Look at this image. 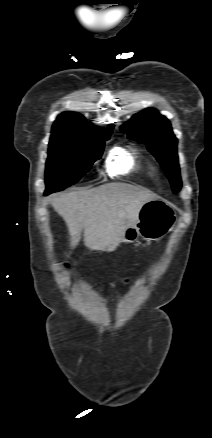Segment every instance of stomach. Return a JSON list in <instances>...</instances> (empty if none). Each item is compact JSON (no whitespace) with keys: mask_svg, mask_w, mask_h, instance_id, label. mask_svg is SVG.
<instances>
[{"mask_svg":"<svg viewBox=\"0 0 212 438\" xmlns=\"http://www.w3.org/2000/svg\"><path fill=\"white\" fill-rule=\"evenodd\" d=\"M175 223L176 214L166 202L148 201L141 207L135 224L126 229L123 242L132 243L139 236L148 242L158 241L173 230Z\"/></svg>","mask_w":212,"mask_h":438,"instance_id":"1","label":"stomach"}]
</instances>
